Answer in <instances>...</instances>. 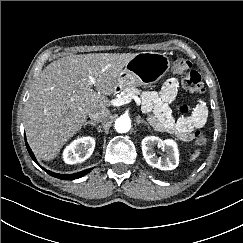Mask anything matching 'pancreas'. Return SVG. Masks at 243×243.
<instances>
[{
  "mask_svg": "<svg viewBox=\"0 0 243 243\" xmlns=\"http://www.w3.org/2000/svg\"><path fill=\"white\" fill-rule=\"evenodd\" d=\"M129 95H140L142 99L145 98L144 93L141 90L137 89L135 86L126 87L122 91V96H129Z\"/></svg>",
  "mask_w": 243,
  "mask_h": 243,
  "instance_id": "obj_1",
  "label": "pancreas"
}]
</instances>
